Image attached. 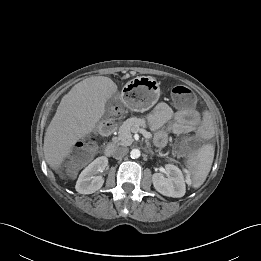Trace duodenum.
I'll list each match as a JSON object with an SVG mask.
<instances>
[{
  "mask_svg": "<svg viewBox=\"0 0 261 261\" xmlns=\"http://www.w3.org/2000/svg\"><path fill=\"white\" fill-rule=\"evenodd\" d=\"M114 127H115V123L113 122V120L108 119L101 124L100 132L103 134H109L110 132H112ZM114 150H115L114 145L110 143L105 148V154L107 156H111L114 153Z\"/></svg>",
  "mask_w": 261,
  "mask_h": 261,
  "instance_id": "1",
  "label": "duodenum"
}]
</instances>
